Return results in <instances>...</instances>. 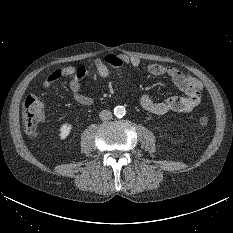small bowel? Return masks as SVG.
Wrapping results in <instances>:
<instances>
[{"label":"small bowel","instance_id":"obj_1","mask_svg":"<svg viewBox=\"0 0 233 233\" xmlns=\"http://www.w3.org/2000/svg\"><path fill=\"white\" fill-rule=\"evenodd\" d=\"M141 64L137 56L125 54H108L104 58H95L92 61L93 68L102 78L109 77L110 67H140ZM146 70L153 76L169 77L174 85L184 93V96H172L163 101H154L148 94H143L139 98V103L144 110L158 115L168 112L185 113L194 110L199 105L203 85L198 79L175 67L161 64H147ZM86 74L85 66H67L50 73L43 81V87L49 88L58 79L71 76L69 87L74 100L82 106H90L94 103V98L81 92V82Z\"/></svg>","mask_w":233,"mask_h":233}]
</instances>
